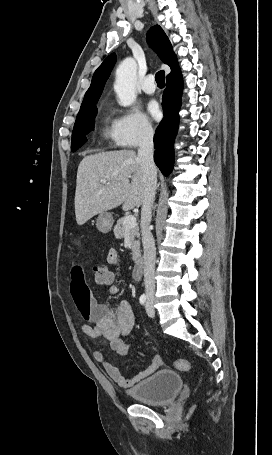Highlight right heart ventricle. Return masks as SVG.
Masks as SVG:
<instances>
[{
    "label": "right heart ventricle",
    "instance_id": "right-heart-ventricle-1",
    "mask_svg": "<svg viewBox=\"0 0 272 455\" xmlns=\"http://www.w3.org/2000/svg\"><path fill=\"white\" fill-rule=\"evenodd\" d=\"M103 135L106 137V138H109V139H112L114 141V137H113V130H112V127H109L107 125V122L103 128Z\"/></svg>",
    "mask_w": 272,
    "mask_h": 455
}]
</instances>
